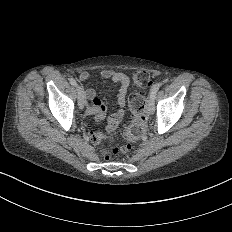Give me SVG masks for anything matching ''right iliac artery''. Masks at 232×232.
<instances>
[{
    "label": "right iliac artery",
    "mask_w": 232,
    "mask_h": 232,
    "mask_svg": "<svg viewBox=\"0 0 232 232\" xmlns=\"http://www.w3.org/2000/svg\"><path fill=\"white\" fill-rule=\"evenodd\" d=\"M70 83H71V85H73V86H78V83H77L76 80L73 79V78L70 79Z\"/></svg>",
    "instance_id": "right-iliac-artery-1"
}]
</instances>
